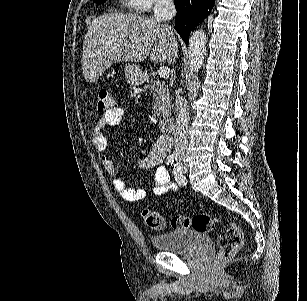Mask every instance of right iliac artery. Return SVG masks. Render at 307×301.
<instances>
[{
    "label": "right iliac artery",
    "mask_w": 307,
    "mask_h": 301,
    "mask_svg": "<svg viewBox=\"0 0 307 301\" xmlns=\"http://www.w3.org/2000/svg\"><path fill=\"white\" fill-rule=\"evenodd\" d=\"M174 161H175V156L174 155H169L168 157H167V164H173L174 163Z\"/></svg>",
    "instance_id": "right-iliac-artery-1"
}]
</instances>
